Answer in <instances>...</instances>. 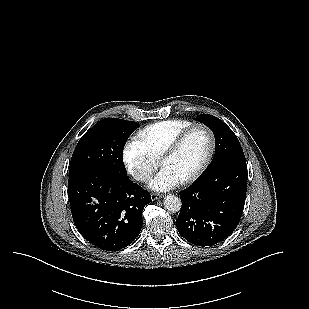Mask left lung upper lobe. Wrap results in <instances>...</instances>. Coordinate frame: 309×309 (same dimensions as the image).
<instances>
[{"label": "left lung upper lobe", "mask_w": 309, "mask_h": 309, "mask_svg": "<svg viewBox=\"0 0 309 309\" xmlns=\"http://www.w3.org/2000/svg\"><path fill=\"white\" fill-rule=\"evenodd\" d=\"M196 119L207 125L215 135V156L208 168L225 159L244 155L238 138L227 124L209 114H200Z\"/></svg>", "instance_id": "obj_1"}]
</instances>
